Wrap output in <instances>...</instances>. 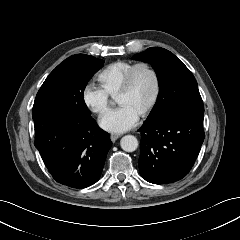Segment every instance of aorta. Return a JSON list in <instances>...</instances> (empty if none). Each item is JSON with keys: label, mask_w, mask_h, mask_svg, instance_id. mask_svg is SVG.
Returning <instances> with one entry per match:
<instances>
[{"label": "aorta", "mask_w": 240, "mask_h": 240, "mask_svg": "<svg viewBox=\"0 0 240 240\" xmlns=\"http://www.w3.org/2000/svg\"><path fill=\"white\" fill-rule=\"evenodd\" d=\"M120 146L126 152H133L138 147V140L133 135H125L121 138Z\"/></svg>", "instance_id": "1"}]
</instances>
